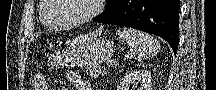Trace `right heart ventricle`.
Wrapping results in <instances>:
<instances>
[{
  "instance_id": "1",
  "label": "right heart ventricle",
  "mask_w": 216,
  "mask_h": 90,
  "mask_svg": "<svg viewBox=\"0 0 216 90\" xmlns=\"http://www.w3.org/2000/svg\"><path fill=\"white\" fill-rule=\"evenodd\" d=\"M50 4V2H40V6H50ZM40 14H48V7H44V10H40Z\"/></svg>"
}]
</instances>
